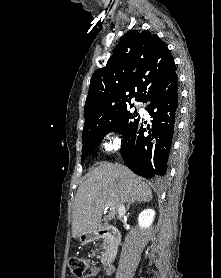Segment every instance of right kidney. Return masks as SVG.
<instances>
[{
	"label": "right kidney",
	"instance_id": "1",
	"mask_svg": "<svg viewBox=\"0 0 221 278\" xmlns=\"http://www.w3.org/2000/svg\"><path fill=\"white\" fill-rule=\"evenodd\" d=\"M155 216V211L153 209L143 210L138 217V224L141 229L149 228L152 224Z\"/></svg>",
	"mask_w": 221,
	"mask_h": 278
}]
</instances>
